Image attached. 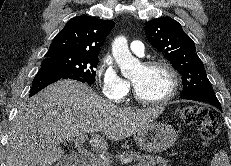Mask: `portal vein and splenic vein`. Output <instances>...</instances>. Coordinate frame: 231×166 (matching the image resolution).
<instances>
[{"label": "portal vein and splenic vein", "mask_w": 231, "mask_h": 166, "mask_svg": "<svg viewBox=\"0 0 231 166\" xmlns=\"http://www.w3.org/2000/svg\"><path fill=\"white\" fill-rule=\"evenodd\" d=\"M86 140H88L87 134L78 135L76 137L67 139V141L73 142L74 147L77 149V151L79 153H81L82 155H84L90 162L99 163L101 159L83 147V144L85 143ZM58 141L64 142V139L59 138ZM128 162H131V160H124L123 161L124 164H126Z\"/></svg>", "instance_id": "1"}]
</instances>
